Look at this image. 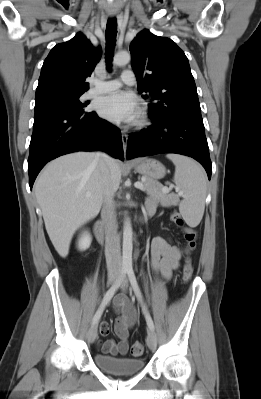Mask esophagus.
I'll list each match as a JSON object with an SVG mask.
<instances>
[{
  "label": "esophagus",
  "instance_id": "esophagus-1",
  "mask_svg": "<svg viewBox=\"0 0 261 399\" xmlns=\"http://www.w3.org/2000/svg\"><path fill=\"white\" fill-rule=\"evenodd\" d=\"M113 14H110V17H113ZM121 138H122V144H123V150L124 153L127 151V142H128V135L125 131H121Z\"/></svg>",
  "mask_w": 261,
  "mask_h": 399
}]
</instances>
